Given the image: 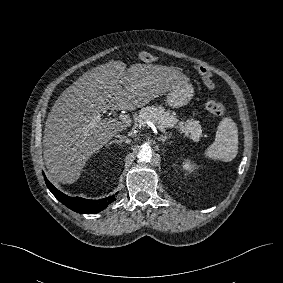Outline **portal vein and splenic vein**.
<instances>
[{"label":"portal vein and splenic vein","mask_w":283,"mask_h":283,"mask_svg":"<svg viewBox=\"0 0 283 283\" xmlns=\"http://www.w3.org/2000/svg\"><path fill=\"white\" fill-rule=\"evenodd\" d=\"M118 119L120 120V121H122L123 123H125L126 125H128V126H130V124H131V119H130V117L128 116V115H126V114H120L119 115V117H118ZM90 125H92V124H90ZM154 129H158V130H160L161 132H165V129L162 127V126H157V127H155V126H152Z\"/></svg>","instance_id":"portal-vein-and-splenic-vein-1"}]
</instances>
